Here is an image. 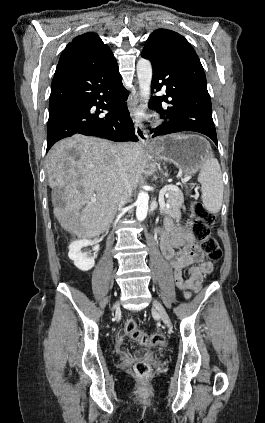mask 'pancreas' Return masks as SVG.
I'll return each mask as SVG.
<instances>
[{
  "mask_svg": "<svg viewBox=\"0 0 265 423\" xmlns=\"http://www.w3.org/2000/svg\"><path fill=\"white\" fill-rule=\"evenodd\" d=\"M183 202H184V197L180 190H170L167 192V199H166V203L169 206L165 208L160 207V212L165 215H169L172 218L180 219L181 217L180 208H182Z\"/></svg>",
  "mask_w": 265,
  "mask_h": 423,
  "instance_id": "obj_1",
  "label": "pancreas"
}]
</instances>
